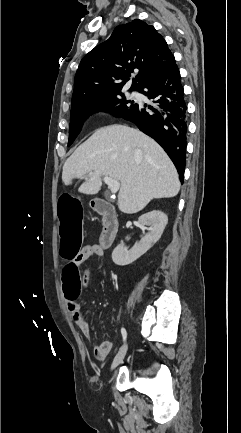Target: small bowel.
I'll use <instances>...</instances> for the list:
<instances>
[{"instance_id": "obj_1", "label": "small bowel", "mask_w": 241, "mask_h": 433, "mask_svg": "<svg viewBox=\"0 0 241 433\" xmlns=\"http://www.w3.org/2000/svg\"><path fill=\"white\" fill-rule=\"evenodd\" d=\"M103 254L104 251L99 245L97 244L86 245L79 251V256L74 257L73 260L70 261V263H75L76 266L79 267L86 260L91 258L102 257ZM103 274H105L104 270H103ZM89 277H90V272L88 271L86 275V280H88ZM63 293L65 296V292ZM65 301H66L67 310L71 315L74 323L79 328V330L84 334V336L89 338L91 336L90 325L86 320V318L83 316L80 310V306L78 305V303L76 305H69L66 296H65ZM112 348H113V344L109 341H104L100 345L95 346L94 347L95 358L97 360L104 361L109 355V353L111 352Z\"/></svg>"}]
</instances>
